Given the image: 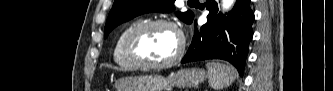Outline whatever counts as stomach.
<instances>
[{"mask_svg":"<svg viewBox=\"0 0 333 91\" xmlns=\"http://www.w3.org/2000/svg\"><path fill=\"white\" fill-rule=\"evenodd\" d=\"M208 74L203 69L186 68L165 78L159 75L123 77L115 82L116 91H170L174 86L189 88L198 86Z\"/></svg>","mask_w":333,"mask_h":91,"instance_id":"1","label":"stomach"}]
</instances>
